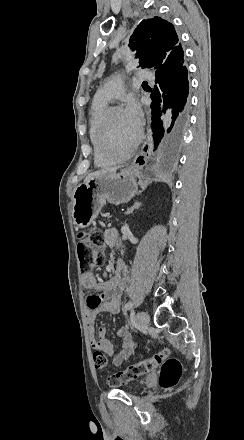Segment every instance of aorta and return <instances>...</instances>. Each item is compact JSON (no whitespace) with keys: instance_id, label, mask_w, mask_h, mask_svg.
<instances>
[{"instance_id":"1","label":"aorta","mask_w":244,"mask_h":440,"mask_svg":"<svg viewBox=\"0 0 244 440\" xmlns=\"http://www.w3.org/2000/svg\"><path fill=\"white\" fill-rule=\"evenodd\" d=\"M127 54H129V55H130V54H132V53H131V52H127Z\"/></svg>"}]
</instances>
